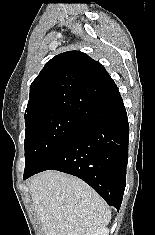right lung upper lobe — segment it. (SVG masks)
<instances>
[{
  "instance_id": "cb5924a9",
  "label": "right lung upper lobe",
  "mask_w": 155,
  "mask_h": 235,
  "mask_svg": "<svg viewBox=\"0 0 155 235\" xmlns=\"http://www.w3.org/2000/svg\"><path fill=\"white\" fill-rule=\"evenodd\" d=\"M110 80L105 68L85 53H61L49 60L32 82L26 114L45 108H59L92 121L98 116L93 113L85 91Z\"/></svg>"
}]
</instances>
